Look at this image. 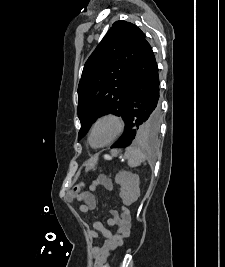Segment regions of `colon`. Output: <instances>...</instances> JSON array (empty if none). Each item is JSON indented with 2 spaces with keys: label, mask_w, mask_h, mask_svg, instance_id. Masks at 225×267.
<instances>
[{
  "label": "colon",
  "mask_w": 225,
  "mask_h": 267,
  "mask_svg": "<svg viewBox=\"0 0 225 267\" xmlns=\"http://www.w3.org/2000/svg\"><path fill=\"white\" fill-rule=\"evenodd\" d=\"M84 189V184L83 183H79L74 187V192L75 193H81ZM104 267H110L109 263H105Z\"/></svg>",
  "instance_id": "1"
}]
</instances>
